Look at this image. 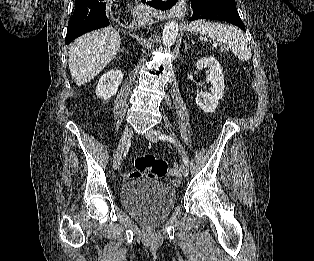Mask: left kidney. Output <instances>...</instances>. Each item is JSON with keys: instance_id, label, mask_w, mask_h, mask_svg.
Instances as JSON below:
<instances>
[{"instance_id": "left-kidney-1", "label": "left kidney", "mask_w": 314, "mask_h": 261, "mask_svg": "<svg viewBox=\"0 0 314 261\" xmlns=\"http://www.w3.org/2000/svg\"><path fill=\"white\" fill-rule=\"evenodd\" d=\"M209 68L210 74L206 81L212 85L210 92L198 91L196 104L206 113H214L219 104V100L224 95V75L221 65L214 57L201 58L196 63V68L201 70Z\"/></svg>"}]
</instances>
